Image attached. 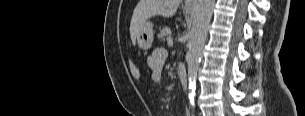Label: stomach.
<instances>
[{"mask_svg": "<svg viewBox=\"0 0 305 116\" xmlns=\"http://www.w3.org/2000/svg\"><path fill=\"white\" fill-rule=\"evenodd\" d=\"M186 14H190L191 10H184ZM154 39L153 25L150 22H145L138 37L137 42L140 48L148 50L152 46Z\"/></svg>", "mask_w": 305, "mask_h": 116, "instance_id": "stomach-1", "label": "stomach"}]
</instances>
